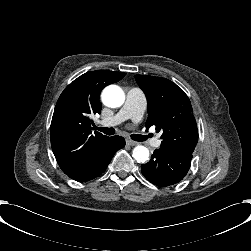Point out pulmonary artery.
Wrapping results in <instances>:
<instances>
[{"mask_svg":"<svg viewBox=\"0 0 251 251\" xmlns=\"http://www.w3.org/2000/svg\"><path fill=\"white\" fill-rule=\"evenodd\" d=\"M146 106V97L134 88L129 89L126 92L125 101L121 109L112 117L100 120L99 125L102 127H113L128 119L137 123L142 120ZM148 142L153 147H159L161 144L159 138L155 139L153 137Z\"/></svg>","mask_w":251,"mask_h":251,"instance_id":"pulmonary-artery-1","label":"pulmonary artery"}]
</instances>
